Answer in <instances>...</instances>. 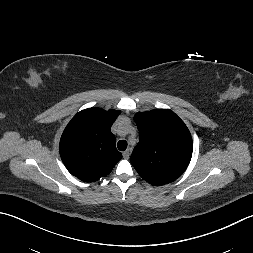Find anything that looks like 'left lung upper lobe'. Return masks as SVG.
<instances>
[{"instance_id":"obj_1","label":"left lung upper lobe","mask_w":253,"mask_h":253,"mask_svg":"<svg viewBox=\"0 0 253 253\" xmlns=\"http://www.w3.org/2000/svg\"><path fill=\"white\" fill-rule=\"evenodd\" d=\"M134 120L139 143L131 163L148 183L161 186L183 174L192 157V138L184 122L169 109L139 112Z\"/></svg>"}]
</instances>
